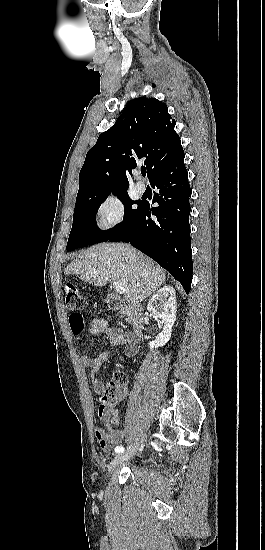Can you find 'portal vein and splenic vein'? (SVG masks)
I'll return each mask as SVG.
<instances>
[{
	"instance_id": "1",
	"label": "portal vein and splenic vein",
	"mask_w": 265,
	"mask_h": 550,
	"mask_svg": "<svg viewBox=\"0 0 265 550\" xmlns=\"http://www.w3.org/2000/svg\"><path fill=\"white\" fill-rule=\"evenodd\" d=\"M112 283H113V286L115 287V290L117 291V293H119V294H124L125 293V288H124V286L121 282L113 281Z\"/></svg>"
}]
</instances>
